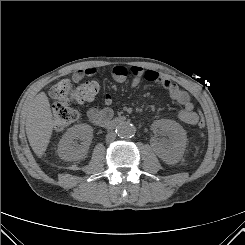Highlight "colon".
Wrapping results in <instances>:
<instances>
[{
    "mask_svg": "<svg viewBox=\"0 0 245 245\" xmlns=\"http://www.w3.org/2000/svg\"><path fill=\"white\" fill-rule=\"evenodd\" d=\"M99 92V84L96 81H86L74 86L68 79L56 83L51 88V96L55 99L53 105L54 127L61 131L75 122L79 117V110L71 105V102H86L94 99ZM199 129L205 127V121H198Z\"/></svg>",
    "mask_w": 245,
    "mask_h": 245,
    "instance_id": "colon-1",
    "label": "colon"
}]
</instances>
